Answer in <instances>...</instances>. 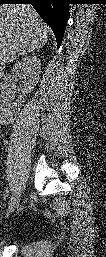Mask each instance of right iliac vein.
I'll list each match as a JSON object with an SVG mask.
<instances>
[{"instance_id": "63e3f726", "label": "right iliac vein", "mask_w": 106, "mask_h": 257, "mask_svg": "<svg viewBox=\"0 0 106 257\" xmlns=\"http://www.w3.org/2000/svg\"><path fill=\"white\" fill-rule=\"evenodd\" d=\"M20 202V193H17L13 201L10 203L8 207V214H12L14 210L19 206Z\"/></svg>"}]
</instances>
